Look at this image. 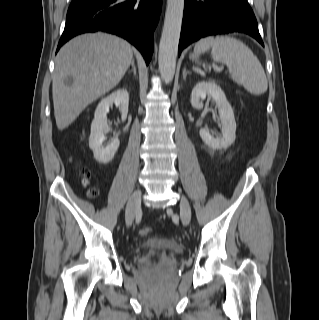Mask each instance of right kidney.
Returning a JSON list of instances; mask_svg holds the SVG:
<instances>
[{"label":"right kidney","mask_w":319,"mask_h":320,"mask_svg":"<svg viewBox=\"0 0 319 320\" xmlns=\"http://www.w3.org/2000/svg\"><path fill=\"white\" fill-rule=\"evenodd\" d=\"M113 104L120 108L122 121H125L129 105L128 91L122 88L112 92L100 101L95 111L94 120L91 124L89 147L94 153V158L104 164L114 158L120 145L118 137H115L110 144L103 146V142L106 139L105 134L109 132L107 113Z\"/></svg>","instance_id":"ca27d5eb"}]
</instances>
